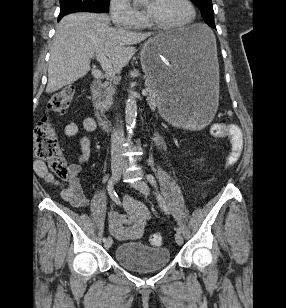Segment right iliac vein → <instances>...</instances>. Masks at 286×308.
I'll use <instances>...</instances> for the list:
<instances>
[{"mask_svg":"<svg viewBox=\"0 0 286 308\" xmlns=\"http://www.w3.org/2000/svg\"><path fill=\"white\" fill-rule=\"evenodd\" d=\"M112 173H113V177H114V182L117 183L119 180V173H120V164L118 161V157L117 154L114 155L113 157V161H112ZM112 245V238L108 237L106 239V241L104 242V246L106 248L111 247Z\"/></svg>","mask_w":286,"mask_h":308,"instance_id":"obj_1","label":"right iliac vein"}]
</instances>
